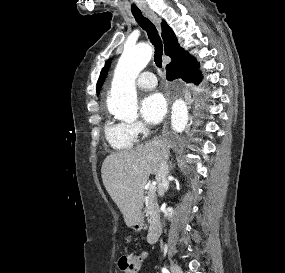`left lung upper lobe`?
<instances>
[{"instance_id":"5c2ea615","label":"left lung upper lobe","mask_w":285,"mask_h":273,"mask_svg":"<svg viewBox=\"0 0 285 273\" xmlns=\"http://www.w3.org/2000/svg\"><path fill=\"white\" fill-rule=\"evenodd\" d=\"M109 65H110V61H107V63L105 64L104 68L102 69L101 71V74H100V77H99V80L97 82V94L99 93L101 87H102V84L106 78V74H107V71L109 69Z\"/></svg>"}]
</instances>
